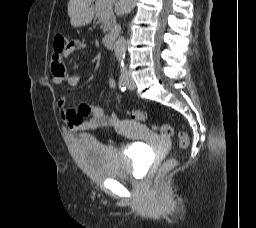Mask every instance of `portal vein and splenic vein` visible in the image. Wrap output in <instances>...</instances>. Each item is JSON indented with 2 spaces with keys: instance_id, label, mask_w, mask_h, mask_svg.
<instances>
[{
  "instance_id": "portal-vein-and-splenic-vein-1",
  "label": "portal vein and splenic vein",
  "mask_w": 256,
  "mask_h": 228,
  "mask_svg": "<svg viewBox=\"0 0 256 228\" xmlns=\"http://www.w3.org/2000/svg\"><path fill=\"white\" fill-rule=\"evenodd\" d=\"M108 2H110V1H113V0H107Z\"/></svg>"
}]
</instances>
